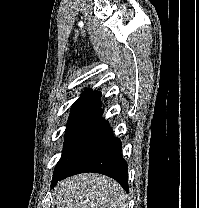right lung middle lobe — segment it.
I'll return each mask as SVG.
<instances>
[{
  "instance_id": "right-lung-middle-lobe-1",
  "label": "right lung middle lobe",
  "mask_w": 199,
  "mask_h": 208,
  "mask_svg": "<svg viewBox=\"0 0 199 208\" xmlns=\"http://www.w3.org/2000/svg\"><path fill=\"white\" fill-rule=\"evenodd\" d=\"M100 112L99 109L71 111L65 134L64 150L54 169V175L58 174L74 157L85 133Z\"/></svg>"
}]
</instances>
